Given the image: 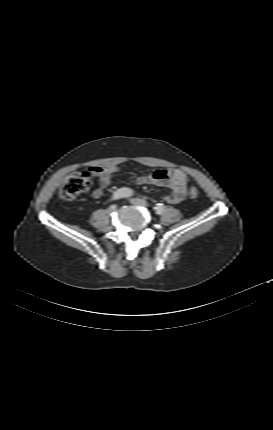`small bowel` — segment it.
<instances>
[{
  "mask_svg": "<svg viewBox=\"0 0 273 430\" xmlns=\"http://www.w3.org/2000/svg\"><path fill=\"white\" fill-rule=\"evenodd\" d=\"M118 171L117 166L100 167L93 165L91 167V173L96 175L100 182L99 186L92 192L94 198H100L103 195L104 189L110 184L111 176ZM188 181L187 175L178 169L156 170L136 179L138 185L153 184L170 188L171 194L163 198L169 204L180 203L185 198Z\"/></svg>",
  "mask_w": 273,
  "mask_h": 430,
  "instance_id": "1",
  "label": "small bowel"
}]
</instances>
